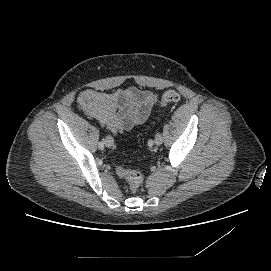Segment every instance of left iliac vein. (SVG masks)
<instances>
[{
    "label": "left iliac vein",
    "instance_id": "left-iliac-vein-1",
    "mask_svg": "<svg viewBox=\"0 0 271 271\" xmlns=\"http://www.w3.org/2000/svg\"><path fill=\"white\" fill-rule=\"evenodd\" d=\"M163 142V137L161 134H158L156 137H155V144L156 145H161Z\"/></svg>",
    "mask_w": 271,
    "mask_h": 271
}]
</instances>
